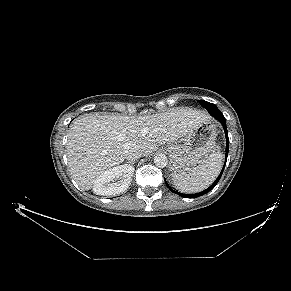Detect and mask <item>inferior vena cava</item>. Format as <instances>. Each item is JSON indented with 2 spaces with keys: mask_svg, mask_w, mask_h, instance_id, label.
<instances>
[{
  "mask_svg": "<svg viewBox=\"0 0 291 291\" xmlns=\"http://www.w3.org/2000/svg\"><path fill=\"white\" fill-rule=\"evenodd\" d=\"M124 154L127 160L135 161L139 159L143 153L137 146H130L125 150Z\"/></svg>",
  "mask_w": 291,
  "mask_h": 291,
  "instance_id": "602c4592",
  "label": "inferior vena cava"
}]
</instances>
